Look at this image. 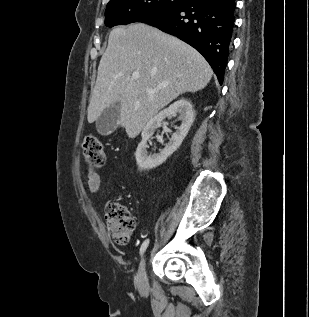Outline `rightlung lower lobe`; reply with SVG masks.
Wrapping results in <instances>:
<instances>
[{
  "mask_svg": "<svg viewBox=\"0 0 309 317\" xmlns=\"http://www.w3.org/2000/svg\"><path fill=\"white\" fill-rule=\"evenodd\" d=\"M235 0H186L136 19L178 37L199 51L222 84L234 28Z\"/></svg>",
  "mask_w": 309,
  "mask_h": 317,
  "instance_id": "98d812e1",
  "label": "right lung lower lobe"
}]
</instances>
